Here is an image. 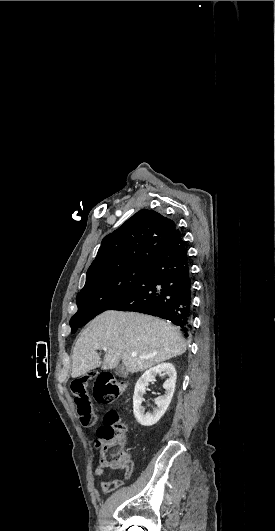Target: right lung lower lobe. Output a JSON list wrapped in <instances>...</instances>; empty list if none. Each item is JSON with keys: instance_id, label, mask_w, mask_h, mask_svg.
Returning a JSON list of instances; mask_svg holds the SVG:
<instances>
[{"instance_id": "right-lung-lower-lobe-1", "label": "right lung lower lobe", "mask_w": 275, "mask_h": 531, "mask_svg": "<svg viewBox=\"0 0 275 531\" xmlns=\"http://www.w3.org/2000/svg\"><path fill=\"white\" fill-rule=\"evenodd\" d=\"M191 276L187 251L177 229L146 265L138 282L109 310L133 311L166 319L191 332Z\"/></svg>"}]
</instances>
